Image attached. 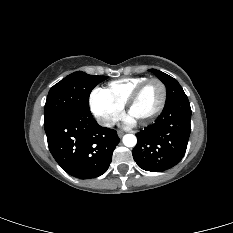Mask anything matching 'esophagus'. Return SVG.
Masks as SVG:
<instances>
[{"instance_id": "34e87169", "label": "esophagus", "mask_w": 233, "mask_h": 233, "mask_svg": "<svg viewBox=\"0 0 233 233\" xmlns=\"http://www.w3.org/2000/svg\"><path fill=\"white\" fill-rule=\"evenodd\" d=\"M117 134H118L119 137H122L124 135V132L123 131H118Z\"/></svg>"}]
</instances>
